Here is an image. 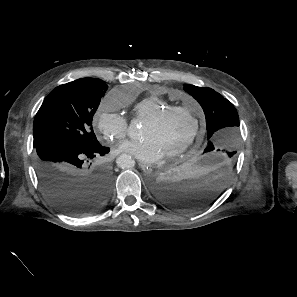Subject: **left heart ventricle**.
I'll return each mask as SVG.
<instances>
[{
    "instance_id": "b2bd125f",
    "label": "left heart ventricle",
    "mask_w": 297,
    "mask_h": 297,
    "mask_svg": "<svg viewBox=\"0 0 297 297\" xmlns=\"http://www.w3.org/2000/svg\"><path fill=\"white\" fill-rule=\"evenodd\" d=\"M192 129L193 121L189 115L174 113L155 124L144 122L140 136L153 139L162 153L166 154L182 145L190 136Z\"/></svg>"
}]
</instances>
